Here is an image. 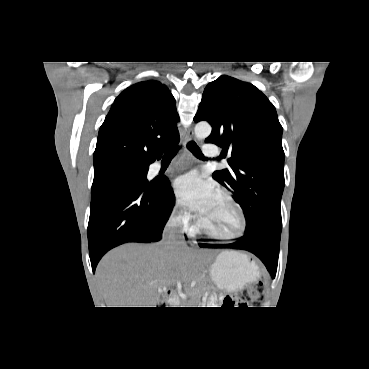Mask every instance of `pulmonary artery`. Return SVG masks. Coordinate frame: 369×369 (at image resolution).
Segmentation results:
<instances>
[{
	"label": "pulmonary artery",
	"instance_id": "e3ab8cb5",
	"mask_svg": "<svg viewBox=\"0 0 369 369\" xmlns=\"http://www.w3.org/2000/svg\"><path fill=\"white\" fill-rule=\"evenodd\" d=\"M218 153V148L213 144H206L203 146V154L206 157H214Z\"/></svg>",
	"mask_w": 369,
	"mask_h": 369
}]
</instances>
